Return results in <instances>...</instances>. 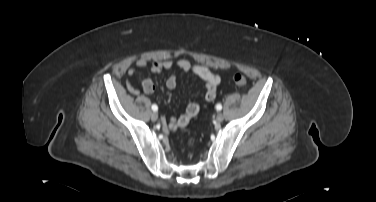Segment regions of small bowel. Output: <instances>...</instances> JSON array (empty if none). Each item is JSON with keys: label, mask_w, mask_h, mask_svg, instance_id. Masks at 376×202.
<instances>
[{"label": "small bowel", "mask_w": 376, "mask_h": 202, "mask_svg": "<svg viewBox=\"0 0 376 202\" xmlns=\"http://www.w3.org/2000/svg\"><path fill=\"white\" fill-rule=\"evenodd\" d=\"M146 65H147L146 61L138 60L134 65H132L128 69V72H127L128 76L129 77L133 76L137 69H142L146 67ZM174 67H178L184 72H190V73L195 74L205 83V92H204L205 101L211 102L216 98L217 88L221 81L220 77L219 75L215 74L214 72H212L209 68L205 66L193 64L192 62L186 59H181L177 62L165 60V61L152 62L150 65V70L153 73H160L165 70H171ZM126 87H127V90L133 95H138L140 93V90L134 87L129 80L126 81ZM166 87L170 90H174L177 87L176 75L173 74L168 77V79L166 80ZM141 90L146 94L152 93L154 91V84L152 80L145 79L142 82ZM199 107H200L199 104L196 102L190 103L187 106L184 114L170 119L168 123V127L171 130H177L179 128L185 127L189 123V121L198 113ZM192 108H195L197 110L195 114L191 112Z\"/></svg>", "instance_id": "obj_1"}]
</instances>
